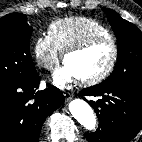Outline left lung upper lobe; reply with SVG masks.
Returning <instances> with one entry per match:
<instances>
[{
    "label": "left lung upper lobe",
    "mask_w": 142,
    "mask_h": 142,
    "mask_svg": "<svg viewBox=\"0 0 142 142\" xmlns=\"http://www.w3.org/2000/svg\"><path fill=\"white\" fill-rule=\"evenodd\" d=\"M118 39V55L111 75L100 85L142 84V33L112 9L103 8Z\"/></svg>",
    "instance_id": "1"
}]
</instances>
